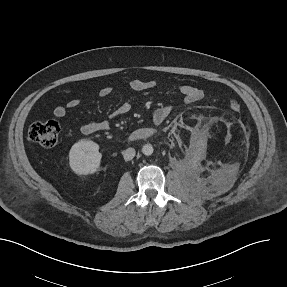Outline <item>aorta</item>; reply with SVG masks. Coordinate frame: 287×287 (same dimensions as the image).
<instances>
[{
	"mask_svg": "<svg viewBox=\"0 0 287 287\" xmlns=\"http://www.w3.org/2000/svg\"><path fill=\"white\" fill-rule=\"evenodd\" d=\"M153 146L151 144H145L143 147H142V153L146 156H150L152 155L153 153Z\"/></svg>",
	"mask_w": 287,
	"mask_h": 287,
	"instance_id": "1",
	"label": "aorta"
}]
</instances>
